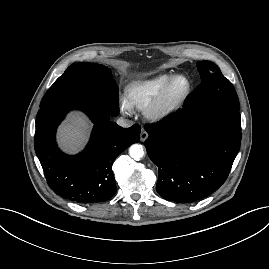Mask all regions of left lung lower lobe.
Here are the masks:
<instances>
[{
  "label": "left lung lower lobe",
  "mask_w": 269,
  "mask_h": 269,
  "mask_svg": "<svg viewBox=\"0 0 269 269\" xmlns=\"http://www.w3.org/2000/svg\"><path fill=\"white\" fill-rule=\"evenodd\" d=\"M145 147L158 166L156 190L178 203L195 202L227 179L241 142L239 109L183 111L145 127Z\"/></svg>",
  "instance_id": "obj_1"
}]
</instances>
